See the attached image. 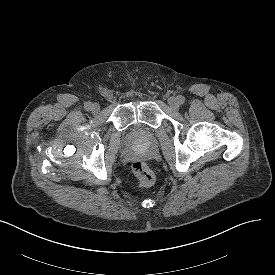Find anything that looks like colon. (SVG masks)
Wrapping results in <instances>:
<instances>
[{
	"mask_svg": "<svg viewBox=\"0 0 275 275\" xmlns=\"http://www.w3.org/2000/svg\"><path fill=\"white\" fill-rule=\"evenodd\" d=\"M133 172L140 188H147L154 183L155 176L150 166L144 161H136L132 165Z\"/></svg>",
	"mask_w": 275,
	"mask_h": 275,
	"instance_id": "colon-1",
	"label": "colon"
}]
</instances>
